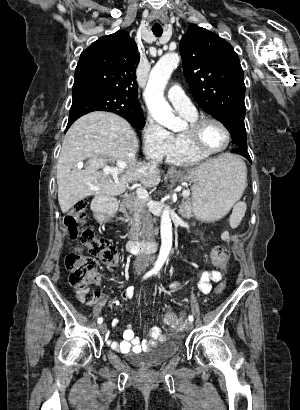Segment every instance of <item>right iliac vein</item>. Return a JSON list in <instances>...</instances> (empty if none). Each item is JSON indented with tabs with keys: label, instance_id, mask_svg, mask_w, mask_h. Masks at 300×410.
Here are the masks:
<instances>
[{
	"label": "right iliac vein",
	"instance_id": "obj_1",
	"mask_svg": "<svg viewBox=\"0 0 300 410\" xmlns=\"http://www.w3.org/2000/svg\"><path fill=\"white\" fill-rule=\"evenodd\" d=\"M98 329H99V331H100L101 333H105L106 330H107V326H106L105 323H103V324H100V325L98 326Z\"/></svg>",
	"mask_w": 300,
	"mask_h": 410
}]
</instances>
